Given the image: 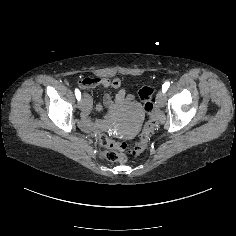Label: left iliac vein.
Here are the masks:
<instances>
[{
    "instance_id": "4c4485c4",
    "label": "left iliac vein",
    "mask_w": 236,
    "mask_h": 236,
    "mask_svg": "<svg viewBox=\"0 0 236 236\" xmlns=\"http://www.w3.org/2000/svg\"><path fill=\"white\" fill-rule=\"evenodd\" d=\"M156 101L160 107H163L165 104V94L163 91H159L156 95Z\"/></svg>"
}]
</instances>
